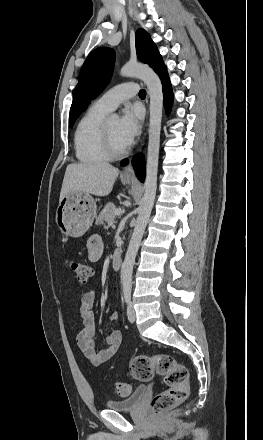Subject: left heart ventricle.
Returning a JSON list of instances; mask_svg holds the SVG:
<instances>
[{
  "instance_id": "b2bd125f",
  "label": "left heart ventricle",
  "mask_w": 263,
  "mask_h": 440,
  "mask_svg": "<svg viewBox=\"0 0 263 440\" xmlns=\"http://www.w3.org/2000/svg\"><path fill=\"white\" fill-rule=\"evenodd\" d=\"M118 124H119V120L117 118L108 119L109 135L112 145L116 150H122L127 146L124 144V142L120 137Z\"/></svg>"
}]
</instances>
